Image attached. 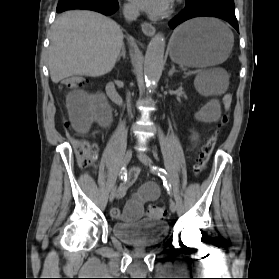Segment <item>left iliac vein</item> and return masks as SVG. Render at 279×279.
<instances>
[{
  "instance_id": "obj_1",
  "label": "left iliac vein",
  "mask_w": 279,
  "mask_h": 279,
  "mask_svg": "<svg viewBox=\"0 0 279 279\" xmlns=\"http://www.w3.org/2000/svg\"><path fill=\"white\" fill-rule=\"evenodd\" d=\"M138 159L146 166H152V161L148 158V156L144 153H138ZM170 211L174 213L176 211V204L173 200L170 201Z\"/></svg>"
}]
</instances>
